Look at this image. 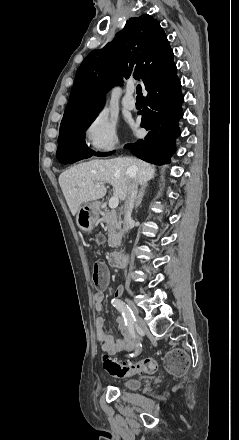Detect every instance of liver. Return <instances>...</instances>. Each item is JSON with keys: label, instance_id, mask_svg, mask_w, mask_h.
I'll return each instance as SVG.
<instances>
[{"label": "liver", "instance_id": "1", "mask_svg": "<svg viewBox=\"0 0 239 440\" xmlns=\"http://www.w3.org/2000/svg\"><path fill=\"white\" fill-rule=\"evenodd\" d=\"M133 174H131V170ZM155 176V166L146 164L137 158H113V160H91L73 166L59 176L60 188L65 200L75 216L83 202H93L105 196L107 190L104 184L108 182L114 188V196L119 200H125L128 192V184L132 178H136L138 184L146 186L149 180Z\"/></svg>", "mask_w": 239, "mask_h": 440}]
</instances>
